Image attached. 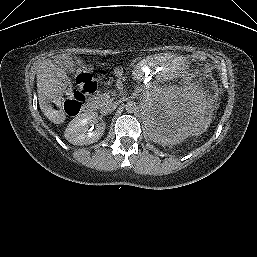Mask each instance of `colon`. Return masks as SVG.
I'll use <instances>...</instances> for the list:
<instances>
[{"instance_id":"colon-1","label":"colon","mask_w":257,"mask_h":257,"mask_svg":"<svg viewBox=\"0 0 257 257\" xmlns=\"http://www.w3.org/2000/svg\"><path fill=\"white\" fill-rule=\"evenodd\" d=\"M192 59L197 62H204L207 57L204 53L196 52L192 54ZM96 88L97 82L92 72L88 68H82L76 76L74 88H67L62 96L64 111L69 115L77 114L82 102Z\"/></svg>"}]
</instances>
